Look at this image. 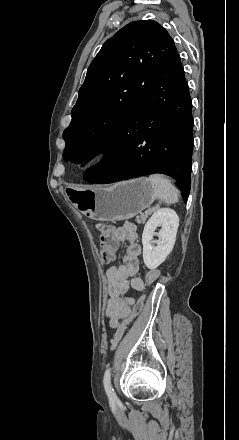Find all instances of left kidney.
<instances>
[{"label": "left kidney", "instance_id": "obj_1", "mask_svg": "<svg viewBox=\"0 0 239 440\" xmlns=\"http://www.w3.org/2000/svg\"><path fill=\"white\" fill-rule=\"evenodd\" d=\"M158 226H161L158 234L160 240L157 246H152L154 232ZM178 226L179 218L170 208H160L149 218L142 234L143 260L149 270H156L172 252Z\"/></svg>", "mask_w": 239, "mask_h": 440}]
</instances>
